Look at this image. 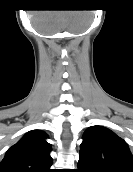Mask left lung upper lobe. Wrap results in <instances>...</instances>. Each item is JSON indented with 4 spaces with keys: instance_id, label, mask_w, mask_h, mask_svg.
<instances>
[{
    "instance_id": "1",
    "label": "left lung upper lobe",
    "mask_w": 133,
    "mask_h": 172,
    "mask_svg": "<svg viewBox=\"0 0 133 172\" xmlns=\"http://www.w3.org/2000/svg\"><path fill=\"white\" fill-rule=\"evenodd\" d=\"M78 172H133L127 143L103 126H91L80 146Z\"/></svg>"
}]
</instances>
